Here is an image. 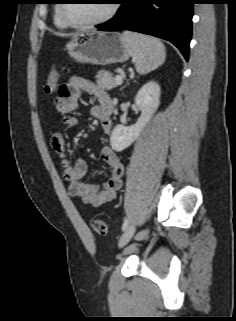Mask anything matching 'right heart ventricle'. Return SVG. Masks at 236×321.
<instances>
[{"label": "right heart ventricle", "instance_id": "right-heart-ventricle-1", "mask_svg": "<svg viewBox=\"0 0 236 321\" xmlns=\"http://www.w3.org/2000/svg\"><path fill=\"white\" fill-rule=\"evenodd\" d=\"M54 23L58 28H67L68 25L62 20L59 14V6L56 7L54 12Z\"/></svg>", "mask_w": 236, "mask_h": 321}]
</instances>
